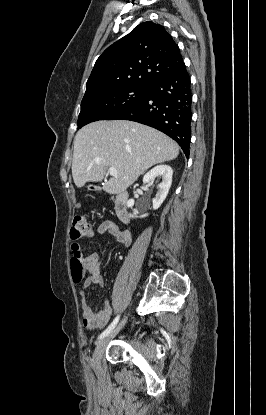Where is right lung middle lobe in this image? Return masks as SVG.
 Instances as JSON below:
<instances>
[{"label": "right lung middle lobe", "mask_w": 266, "mask_h": 415, "mask_svg": "<svg viewBox=\"0 0 266 415\" xmlns=\"http://www.w3.org/2000/svg\"><path fill=\"white\" fill-rule=\"evenodd\" d=\"M148 88L123 86L84 97L78 117V128L98 121L110 119L117 113L141 101Z\"/></svg>", "instance_id": "1"}]
</instances>
